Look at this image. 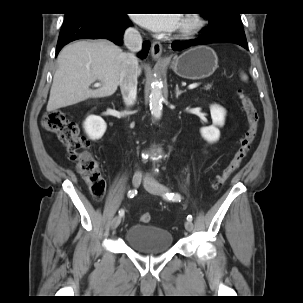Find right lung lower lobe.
<instances>
[{
    "label": "right lung lower lobe",
    "mask_w": 303,
    "mask_h": 303,
    "mask_svg": "<svg viewBox=\"0 0 303 303\" xmlns=\"http://www.w3.org/2000/svg\"><path fill=\"white\" fill-rule=\"evenodd\" d=\"M129 25L131 22L126 14H109L91 9L66 14L58 38L56 56L66 44L77 39L106 38L116 44L122 43L124 30ZM149 47L150 42H144L140 58L146 57Z\"/></svg>",
    "instance_id": "1"
}]
</instances>
